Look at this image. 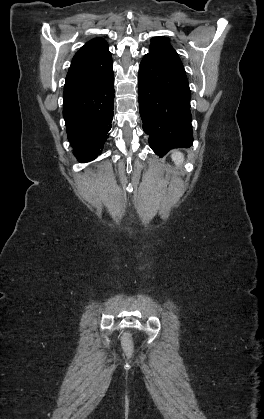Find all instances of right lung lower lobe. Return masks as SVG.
<instances>
[{
	"instance_id": "right-lung-lower-lobe-1",
	"label": "right lung lower lobe",
	"mask_w": 264,
	"mask_h": 419,
	"mask_svg": "<svg viewBox=\"0 0 264 419\" xmlns=\"http://www.w3.org/2000/svg\"><path fill=\"white\" fill-rule=\"evenodd\" d=\"M114 74L91 85L64 88L63 116L80 162L95 159L108 138L113 116Z\"/></svg>"
}]
</instances>
